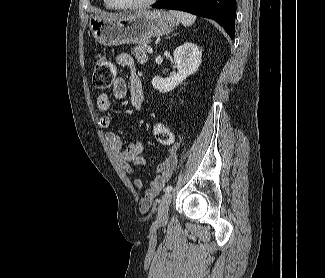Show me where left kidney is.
<instances>
[{
    "label": "left kidney",
    "mask_w": 325,
    "mask_h": 278,
    "mask_svg": "<svg viewBox=\"0 0 325 278\" xmlns=\"http://www.w3.org/2000/svg\"><path fill=\"white\" fill-rule=\"evenodd\" d=\"M173 56L177 73L166 79L155 76L151 81L153 88L161 93L173 90L189 75L194 74L198 70L201 64L202 50H199V47L194 43L187 42L176 48Z\"/></svg>",
    "instance_id": "left-kidney-1"
}]
</instances>
